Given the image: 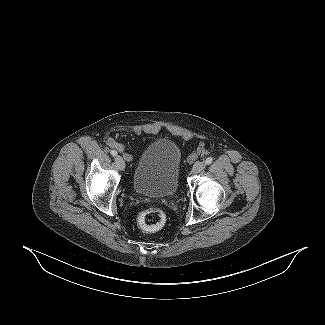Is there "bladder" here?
<instances>
[{
	"mask_svg": "<svg viewBox=\"0 0 325 325\" xmlns=\"http://www.w3.org/2000/svg\"><path fill=\"white\" fill-rule=\"evenodd\" d=\"M181 151L169 139L151 142L144 150L133 174V187L141 195L167 197L178 188Z\"/></svg>",
	"mask_w": 325,
	"mask_h": 325,
	"instance_id": "31cf9c89",
	"label": "bladder"
}]
</instances>
